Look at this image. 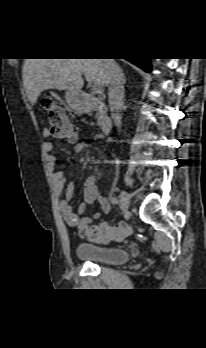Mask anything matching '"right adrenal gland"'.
Wrapping results in <instances>:
<instances>
[{"mask_svg": "<svg viewBox=\"0 0 206 348\" xmlns=\"http://www.w3.org/2000/svg\"><path fill=\"white\" fill-rule=\"evenodd\" d=\"M122 77H123V82H124V84H125V83H126V78H125L123 72H122Z\"/></svg>", "mask_w": 206, "mask_h": 348, "instance_id": "1", "label": "right adrenal gland"}]
</instances>
